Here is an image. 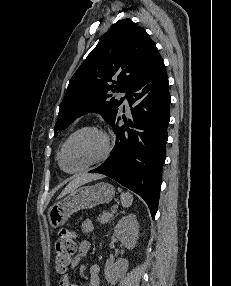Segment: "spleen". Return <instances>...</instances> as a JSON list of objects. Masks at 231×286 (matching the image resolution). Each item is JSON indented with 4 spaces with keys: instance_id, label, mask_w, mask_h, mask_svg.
Masks as SVG:
<instances>
[{
    "instance_id": "1",
    "label": "spleen",
    "mask_w": 231,
    "mask_h": 286,
    "mask_svg": "<svg viewBox=\"0 0 231 286\" xmlns=\"http://www.w3.org/2000/svg\"><path fill=\"white\" fill-rule=\"evenodd\" d=\"M118 190L122 192L121 188H118ZM120 199H121V204L124 208L130 207L133 203V195L129 192L126 193L122 192Z\"/></svg>"
}]
</instances>
